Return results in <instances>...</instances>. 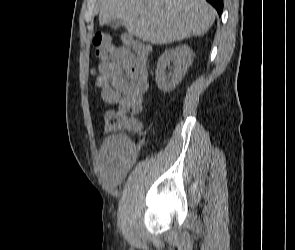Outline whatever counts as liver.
I'll use <instances>...</instances> for the list:
<instances>
[{
	"label": "liver",
	"mask_w": 295,
	"mask_h": 250,
	"mask_svg": "<svg viewBox=\"0 0 295 250\" xmlns=\"http://www.w3.org/2000/svg\"><path fill=\"white\" fill-rule=\"evenodd\" d=\"M215 15L205 0H102L99 22L120 19L130 35L162 45L204 35Z\"/></svg>",
	"instance_id": "liver-1"
}]
</instances>
